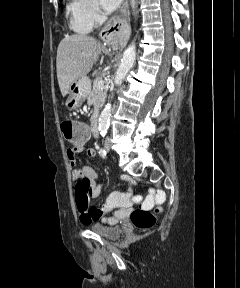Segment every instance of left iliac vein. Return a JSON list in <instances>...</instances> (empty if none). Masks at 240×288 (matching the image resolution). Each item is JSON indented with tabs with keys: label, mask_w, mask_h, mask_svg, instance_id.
<instances>
[{
	"label": "left iliac vein",
	"mask_w": 240,
	"mask_h": 288,
	"mask_svg": "<svg viewBox=\"0 0 240 288\" xmlns=\"http://www.w3.org/2000/svg\"><path fill=\"white\" fill-rule=\"evenodd\" d=\"M106 149H107V151H109V149H110L109 146H107Z\"/></svg>",
	"instance_id": "left-iliac-vein-1"
}]
</instances>
